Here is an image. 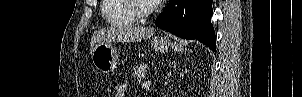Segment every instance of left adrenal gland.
Wrapping results in <instances>:
<instances>
[{
  "mask_svg": "<svg viewBox=\"0 0 302 97\" xmlns=\"http://www.w3.org/2000/svg\"><path fill=\"white\" fill-rule=\"evenodd\" d=\"M174 71H176V69H174ZM187 72V69L185 68V70H182L180 73V76H183L185 73ZM171 77V74L168 76V80L165 82L166 85H168V83L173 82L171 79H169Z\"/></svg>",
  "mask_w": 302,
  "mask_h": 97,
  "instance_id": "1",
  "label": "left adrenal gland"
}]
</instances>
